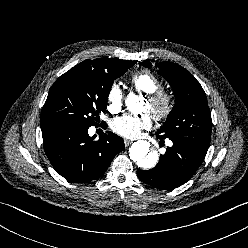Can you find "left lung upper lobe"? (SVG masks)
Returning a JSON list of instances; mask_svg holds the SVG:
<instances>
[{"label": "left lung upper lobe", "mask_w": 248, "mask_h": 248, "mask_svg": "<svg viewBox=\"0 0 248 248\" xmlns=\"http://www.w3.org/2000/svg\"><path fill=\"white\" fill-rule=\"evenodd\" d=\"M140 64L151 67L149 61ZM156 66L159 68L158 74L168 81L175 94V105L156 134L162 139L169 138L207 151L212 120L203 88L193 75L178 64L162 62Z\"/></svg>", "instance_id": "obj_1"}]
</instances>
